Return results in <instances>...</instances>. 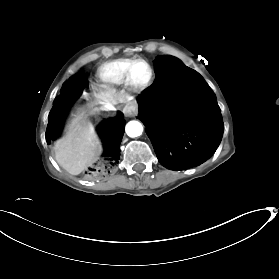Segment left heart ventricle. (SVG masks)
<instances>
[{
	"label": "left heart ventricle",
	"mask_w": 279,
	"mask_h": 279,
	"mask_svg": "<svg viewBox=\"0 0 279 279\" xmlns=\"http://www.w3.org/2000/svg\"><path fill=\"white\" fill-rule=\"evenodd\" d=\"M149 75L148 67L144 63H137L133 68V79L142 83L147 80Z\"/></svg>",
	"instance_id": "b2bd125f"
}]
</instances>
